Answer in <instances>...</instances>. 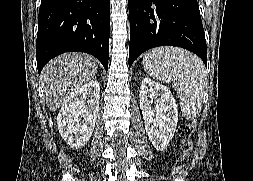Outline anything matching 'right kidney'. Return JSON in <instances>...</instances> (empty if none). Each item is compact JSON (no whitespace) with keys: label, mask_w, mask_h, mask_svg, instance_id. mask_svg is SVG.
<instances>
[{"label":"right kidney","mask_w":253,"mask_h":181,"mask_svg":"<svg viewBox=\"0 0 253 181\" xmlns=\"http://www.w3.org/2000/svg\"><path fill=\"white\" fill-rule=\"evenodd\" d=\"M100 85L90 80L74 89L64 100L57 117L59 133L76 149L85 146L94 131L98 116Z\"/></svg>","instance_id":"obj_1"}]
</instances>
